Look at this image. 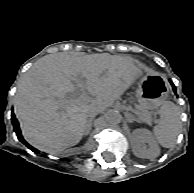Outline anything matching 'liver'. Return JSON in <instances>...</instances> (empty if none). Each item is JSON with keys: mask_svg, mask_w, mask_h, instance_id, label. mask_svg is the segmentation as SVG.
I'll return each mask as SVG.
<instances>
[{"mask_svg": "<svg viewBox=\"0 0 194 193\" xmlns=\"http://www.w3.org/2000/svg\"><path fill=\"white\" fill-rule=\"evenodd\" d=\"M141 74L140 67L119 55L43 56L22 76L15 95L24 138L51 154L76 145L86 132L88 113L113 105ZM78 82L93 98L67 99Z\"/></svg>", "mask_w": 194, "mask_h": 193, "instance_id": "1", "label": "liver"}]
</instances>
